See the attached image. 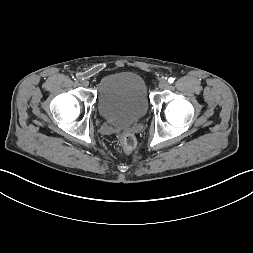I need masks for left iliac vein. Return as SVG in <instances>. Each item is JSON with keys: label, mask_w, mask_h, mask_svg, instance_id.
Returning <instances> with one entry per match:
<instances>
[{"label": "left iliac vein", "mask_w": 253, "mask_h": 253, "mask_svg": "<svg viewBox=\"0 0 253 253\" xmlns=\"http://www.w3.org/2000/svg\"><path fill=\"white\" fill-rule=\"evenodd\" d=\"M169 84H168V81L165 80V79H162L160 82H159V88L160 89H166L168 88Z\"/></svg>", "instance_id": "4c4485c4"}]
</instances>
